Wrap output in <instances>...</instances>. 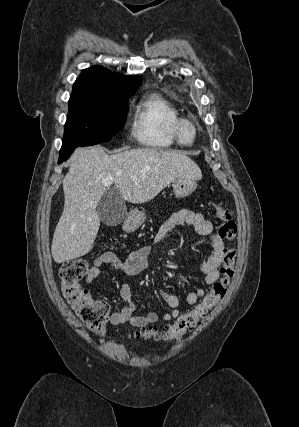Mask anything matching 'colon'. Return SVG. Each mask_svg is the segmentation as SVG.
<instances>
[{"instance_id":"obj_1","label":"colon","mask_w":299,"mask_h":427,"mask_svg":"<svg viewBox=\"0 0 299 427\" xmlns=\"http://www.w3.org/2000/svg\"><path fill=\"white\" fill-rule=\"evenodd\" d=\"M220 220L218 234L228 243L237 238V224L232 219L231 211L219 203L214 204ZM237 249L229 246L225 250L221 267V278L213 284L203 300L191 311L181 315L174 323L162 330L156 327L142 328L137 335L155 341L176 340L200 325L212 308L225 296L232 277L234 276ZM89 271V264L84 258H75L64 262L60 268L59 278L64 298L87 329L94 333L104 331L110 306L102 300H94L81 285V281Z\"/></svg>"}]
</instances>
